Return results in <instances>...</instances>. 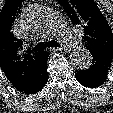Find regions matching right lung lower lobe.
Masks as SVG:
<instances>
[{"instance_id":"right-lung-lower-lobe-1","label":"right lung lower lobe","mask_w":113,"mask_h":113,"mask_svg":"<svg viewBox=\"0 0 113 113\" xmlns=\"http://www.w3.org/2000/svg\"><path fill=\"white\" fill-rule=\"evenodd\" d=\"M49 57V53L47 51H43V57L41 62L39 63L34 76L22 87L17 90L21 91L25 94H35L42 90L48 80V72H47V59Z\"/></svg>"}]
</instances>
